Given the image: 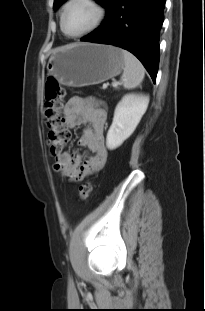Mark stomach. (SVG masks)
Segmentation results:
<instances>
[{"instance_id":"0dacf381","label":"stomach","mask_w":205,"mask_h":311,"mask_svg":"<svg viewBox=\"0 0 205 311\" xmlns=\"http://www.w3.org/2000/svg\"><path fill=\"white\" fill-rule=\"evenodd\" d=\"M46 68L59 83L83 87L119 75L124 58L122 50L112 45L78 43L54 50Z\"/></svg>"}]
</instances>
